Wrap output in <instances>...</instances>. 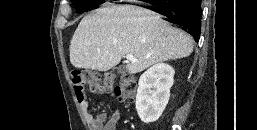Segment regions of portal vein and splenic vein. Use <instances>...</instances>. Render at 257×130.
Masks as SVG:
<instances>
[{
    "label": "portal vein and splenic vein",
    "mask_w": 257,
    "mask_h": 130,
    "mask_svg": "<svg viewBox=\"0 0 257 130\" xmlns=\"http://www.w3.org/2000/svg\"><path fill=\"white\" fill-rule=\"evenodd\" d=\"M126 59L130 62H137V59L132 54L126 55Z\"/></svg>",
    "instance_id": "18ae733b"
}]
</instances>
